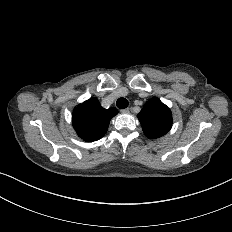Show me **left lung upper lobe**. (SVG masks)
Returning a JSON list of instances; mask_svg holds the SVG:
<instances>
[{
  "label": "left lung upper lobe",
  "mask_w": 232,
  "mask_h": 232,
  "mask_svg": "<svg viewBox=\"0 0 232 232\" xmlns=\"http://www.w3.org/2000/svg\"><path fill=\"white\" fill-rule=\"evenodd\" d=\"M138 118L144 134L150 139L165 135L172 127L170 109L156 97L143 106Z\"/></svg>",
  "instance_id": "5c2ea615"
}]
</instances>
